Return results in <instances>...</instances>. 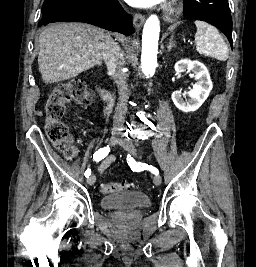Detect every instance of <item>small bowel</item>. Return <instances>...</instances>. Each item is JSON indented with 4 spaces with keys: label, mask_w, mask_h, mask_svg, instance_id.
Here are the masks:
<instances>
[{
    "label": "small bowel",
    "mask_w": 256,
    "mask_h": 267,
    "mask_svg": "<svg viewBox=\"0 0 256 267\" xmlns=\"http://www.w3.org/2000/svg\"><path fill=\"white\" fill-rule=\"evenodd\" d=\"M115 156L108 155L100 162L97 171L98 173H103L108 167L115 161Z\"/></svg>",
    "instance_id": "small-bowel-1"
}]
</instances>
